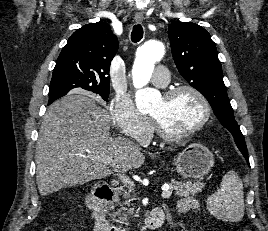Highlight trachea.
<instances>
[{"mask_svg": "<svg viewBox=\"0 0 268 231\" xmlns=\"http://www.w3.org/2000/svg\"><path fill=\"white\" fill-rule=\"evenodd\" d=\"M143 37V28L140 24L134 25L132 33H131V40L134 43L139 42Z\"/></svg>", "mask_w": 268, "mask_h": 231, "instance_id": "3493384b", "label": "trachea"}]
</instances>
